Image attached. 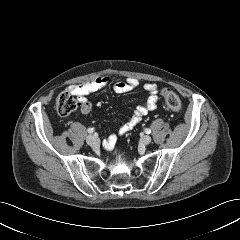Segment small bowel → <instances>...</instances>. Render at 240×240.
<instances>
[{
    "label": "small bowel",
    "mask_w": 240,
    "mask_h": 240,
    "mask_svg": "<svg viewBox=\"0 0 240 240\" xmlns=\"http://www.w3.org/2000/svg\"><path fill=\"white\" fill-rule=\"evenodd\" d=\"M139 81L134 78H128L124 81H114L111 77H98L93 80L71 85L68 90L70 93L78 97L80 103V110L83 114H89L92 109L90 101L87 99V96L111 87L116 93H128L134 91L138 88ZM144 91L148 94V98L145 103L138 106L132 113L131 118L123 124L117 133L111 134L106 142L105 146L107 148H113L117 136L124 135L130 132L135 126H137L142 118L151 110L155 109L158 100V89L156 85L151 83H146L143 85Z\"/></svg>",
    "instance_id": "small-bowel-1"
}]
</instances>
